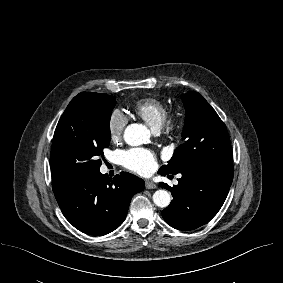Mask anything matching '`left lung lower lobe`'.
Listing matches in <instances>:
<instances>
[{
	"label": "left lung lower lobe",
	"mask_w": 283,
	"mask_h": 283,
	"mask_svg": "<svg viewBox=\"0 0 283 283\" xmlns=\"http://www.w3.org/2000/svg\"><path fill=\"white\" fill-rule=\"evenodd\" d=\"M159 174L167 175L164 172ZM180 174L179 183L173 188L160 183L173 196L162 215L176 229L193 230L210 221L220 210L232 184L234 169H194Z\"/></svg>",
	"instance_id": "obj_1"
}]
</instances>
